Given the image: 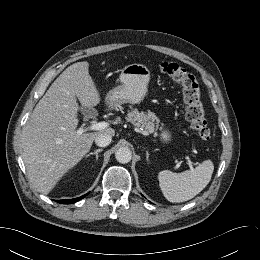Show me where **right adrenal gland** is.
Listing matches in <instances>:
<instances>
[{
	"mask_svg": "<svg viewBox=\"0 0 260 260\" xmlns=\"http://www.w3.org/2000/svg\"><path fill=\"white\" fill-rule=\"evenodd\" d=\"M101 151H103V149H97L94 152H90L89 154L86 155V158L91 156V155H95L96 156V160L98 159V153H100Z\"/></svg>",
	"mask_w": 260,
	"mask_h": 260,
	"instance_id": "1",
	"label": "right adrenal gland"
}]
</instances>
